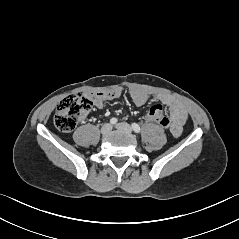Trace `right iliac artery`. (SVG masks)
<instances>
[{
  "instance_id": "obj_1",
  "label": "right iliac artery",
  "mask_w": 239,
  "mask_h": 239,
  "mask_svg": "<svg viewBox=\"0 0 239 239\" xmlns=\"http://www.w3.org/2000/svg\"><path fill=\"white\" fill-rule=\"evenodd\" d=\"M110 123L112 125L116 124L117 123V118H115V117L111 118Z\"/></svg>"
}]
</instances>
